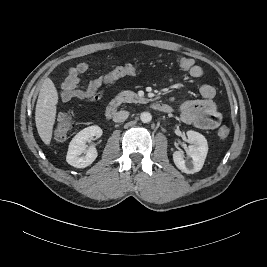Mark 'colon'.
<instances>
[{
    "mask_svg": "<svg viewBox=\"0 0 267 267\" xmlns=\"http://www.w3.org/2000/svg\"><path fill=\"white\" fill-rule=\"evenodd\" d=\"M194 65V61L190 58H181L178 60V67L180 70L188 71ZM139 72V67L135 64L127 63L114 68L103 76L104 84H111L121 78L135 76ZM74 121V112L67 110L62 113L54 127L53 137L57 141L64 140L71 131ZM229 130L226 126H221L218 130V137L220 139L227 138Z\"/></svg>",
    "mask_w": 267,
    "mask_h": 267,
    "instance_id": "5ec220e1",
    "label": "colon"
}]
</instances>
